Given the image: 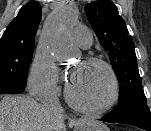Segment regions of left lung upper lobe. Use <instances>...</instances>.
<instances>
[{"mask_svg": "<svg viewBox=\"0 0 151 131\" xmlns=\"http://www.w3.org/2000/svg\"><path fill=\"white\" fill-rule=\"evenodd\" d=\"M85 12L100 44L109 51L120 87L118 106L136 97L146 100L134 43L114 3L110 0H97L86 4Z\"/></svg>", "mask_w": 151, "mask_h": 131, "instance_id": "obj_1", "label": "left lung upper lobe"}]
</instances>
